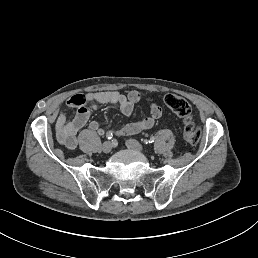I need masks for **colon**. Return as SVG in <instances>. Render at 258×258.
Returning a JSON list of instances; mask_svg holds the SVG:
<instances>
[{
    "mask_svg": "<svg viewBox=\"0 0 258 258\" xmlns=\"http://www.w3.org/2000/svg\"><path fill=\"white\" fill-rule=\"evenodd\" d=\"M165 105L171 109L183 121V138L191 145L199 143L201 138V129L192 120L191 107L189 103L176 94H167L164 97Z\"/></svg>",
    "mask_w": 258,
    "mask_h": 258,
    "instance_id": "obj_1",
    "label": "colon"
}]
</instances>
